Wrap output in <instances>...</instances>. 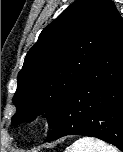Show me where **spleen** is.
I'll list each match as a JSON object with an SVG mask.
<instances>
[{
  "instance_id": "3e777b00",
  "label": "spleen",
  "mask_w": 123,
  "mask_h": 152,
  "mask_svg": "<svg viewBox=\"0 0 123 152\" xmlns=\"http://www.w3.org/2000/svg\"><path fill=\"white\" fill-rule=\"evenodd\" d=\"M65 152H117V150L102 140L82 137L66 148Z\"/></svg>"
}]
</instances>
